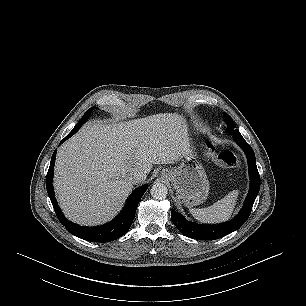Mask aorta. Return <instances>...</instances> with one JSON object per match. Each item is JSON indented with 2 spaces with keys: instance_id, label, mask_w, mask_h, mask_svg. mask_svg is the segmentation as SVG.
<instances>
[{
  "instance_id": "obj_1",
  "label": "aorta",
  "mask_w": 306,
  "mask_h": 306,
  "mask_svg": "<svg viewBox=\"0 0 306 306\" xmlns=\"http://www.w3.org/2000/svg\"><path fill=\"white\" fill-rule=\"evenodd\" d=\"M168 189L163 183H155L151 188V196L156 200H163L167 197Z\"/></svg>"
}]
</instances>
